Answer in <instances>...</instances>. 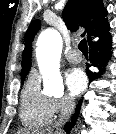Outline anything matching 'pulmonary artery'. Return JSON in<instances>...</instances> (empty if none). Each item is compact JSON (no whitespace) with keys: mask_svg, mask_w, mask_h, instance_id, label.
<instances>
[{"mask_svg":"<svg viewBox=\"0 0 116 134\" xmlns=\"http://www.w3.org/2000/svg\"><path fill=\"white\" fill-rule=\"evenodd\" d=\"M66 59L71 63H78L82 60V56L76 50H71L66 54Z\"/></svg>","mask_w":116,"mask_h":134,"instance_id":"e3ab8cb5","label":"pulmonary artery"}]
</instances>
